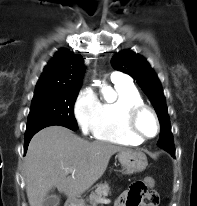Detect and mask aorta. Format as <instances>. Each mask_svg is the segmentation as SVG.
Here are the masks:
<instances>
[{
    "instance_id": "1",
    "label": "aorta",
    "mask_w": 197,
    "mask_h": 206,
    "mask_svg": "<svg viewBox=\"0 0 197 206\" xmlns=\"http://www.w3.org/2000/svg\"><path fill=\"white\" fill-rule=\"evenodd\" d=\"M102 92H103V94L106 98H108V97L112 98L113 91L111 90L110 87L104 85L103 88H102Z\"/></svg>"
}]
</instances>
